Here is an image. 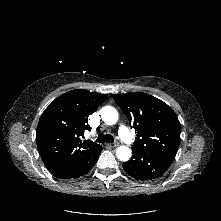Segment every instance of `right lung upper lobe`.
Listing matches in <instances>:
<instances>
[{"instance_id": "right-lung-upper-lobe-1", "label": "right lung upper lobe", "mask_w": 221, "mask_h": 221, "mask_svg": "<svg viewBox=\"0 0 221 221\" xmlns=\"http://www.w3.org/2000/svg\"><path fill=\"white\" fill-rule=\"evenodd\" d=\"M107 95L76 89L56 98L43 112L36 131L40 156L51 172L98 144L80 139L90 130L87 118Z\"/></svg>"}]
</instances>
